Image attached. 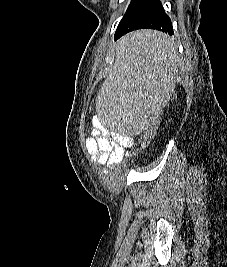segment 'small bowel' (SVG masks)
<instances>
[{
	"instance_id": "small-bowel-1",
	"label": "small bowel",
	"mask_w": 227,
	"mask_h": 267,
	"mask_svg": "<svg viewBox=\"0 0 227 267\" xmlns=\"http://www.w3.org/2000/svg\"><path fill=\"white\" fill-rule=\"evenodd\" d=\"M93 137L86 140V149L95 163L116 166L126 155V148L134 145L133 137H121L115 132H105L98 122L93 128Z\"/></svg>"
}]
</instances>
